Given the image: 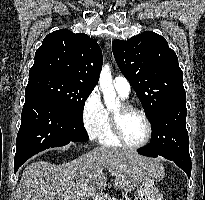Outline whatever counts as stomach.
Wrapping results in <instances>:
<instances>
[{"label":"stomach","mask_w":205,"mask_h":200,"mask_svg":"<svg viewBox=\"0 0 205 200\" xmlns=\"http://www.w3.org/2000/svg\"><path fill=\"white\" fill-rule=\"evenodd\" d=\"M162 166L156 164V170L159 172ZM134 200H164L163 195L154 185V178L143 180L138 183Z\"/></svg>","instance_id":"1"}]
</instances>
